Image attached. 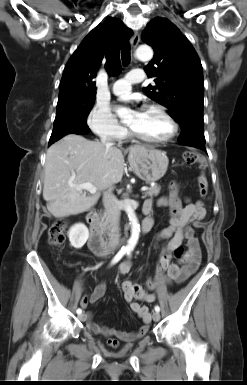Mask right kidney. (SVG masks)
Segmentation results:
<instances>
[{"mask_svg": "<svg viewBox=\"0 0 247 385\" xmlns=\"http://www.w3.org/2000/svg\"><path fill=\"white\" fill-rule=\"evenodd\" d=\"M69 241L72 247L80 249L84 246L89 237L88 228L83 223L72 226L68 232Z\"/></svg>", "mask_w": 247, "mask_h": 385, "instance_id": "ca27d5eb", "label": "right kidney"}]
</instances>
